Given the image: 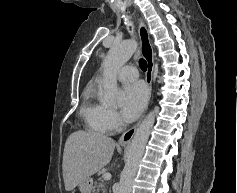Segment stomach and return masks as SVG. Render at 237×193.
<instances>
[{
  "mask_svg": "<svg viewBox=\"0 0 237 193\" xmlns=\"http://www.w3.org/2000/svg\"><path fill=\"white\" fill-rule=\"evenodd\" d=\"M93 187V180L87 177L79 184V189L81 193H91Z\"/></svg>",
  "mask_w": 237,
  "mask_h": 193,
  "instance_id": "1",
  "label": "stomach"
}]
</instances>
